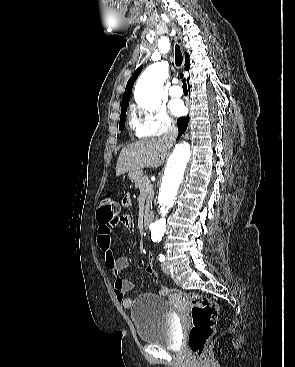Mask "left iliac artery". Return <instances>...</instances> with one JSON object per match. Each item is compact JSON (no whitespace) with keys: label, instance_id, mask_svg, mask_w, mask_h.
Instances as JSON below:
<instances>
[{"label":"left iliac artery","instance_id":"1","mask_svg":"<svg viewBox=\"0 0 295 367\" xmlns=\"http://www.w3.org/2000/svg\"><path fill=\"white\" fill-rule=\"evenodd\" d=\"M158 259H159V261L164 262L165 261V256L163 254H160L158 256Z\"/></svg>","mask_w":295,"mask_h":367}]
</instances>
